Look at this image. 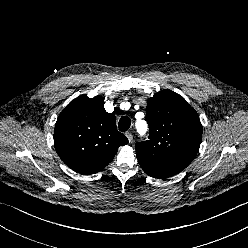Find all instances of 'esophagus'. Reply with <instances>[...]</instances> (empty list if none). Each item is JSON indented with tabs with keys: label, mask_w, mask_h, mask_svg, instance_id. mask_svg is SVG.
<instances>
[{
	"label": "esophagus",
	"mask_w": 248,
	"mask_h": 248,
	"mask_svg": "<svg viewBox=\"0 0 248 248\" xmlns=\"http://www.w3.org/2000/svg\"><path fill=\"white\" fill-rule=\"evenodd\" d=\"M125 136L127 137V139H128L129 142H132L133 135H132L131 132L127 131V132L125 133Z\"/></svg>",
	"instance_id": "1"
}]
</instances>
